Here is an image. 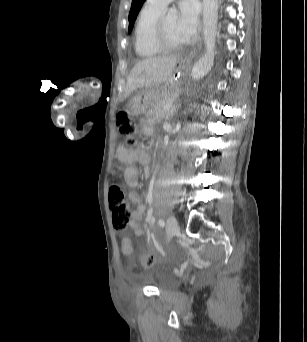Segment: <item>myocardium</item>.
<instances>
[{
    "label": "myocardium",
    "instance_id": "f54148a6",
    "mask_svg": "<svg viewBox=\"0 0 307 342\" xmlns=\"http://www.w3.org/2000/svg\"><path fill=\"white\" fill-rule=\"evenodd\" d=\"M162 31H163V19L158 18L153 25L152 29V43L154 47L164 55H177L180 53L181 49L179 50H173L168 48L164 41H163V36H162Z\"/></svg>",
    "mask_w": 307,
    "mask_h": 342
}]
</instances>
